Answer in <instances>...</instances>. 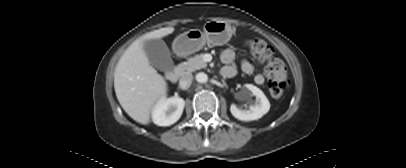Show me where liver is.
<instances>
[{
    "instance_id": "liver-1",
    "label": "liver",
    "mask_w": 406,
    "mask_h": 168,
    "mask_svg": "<svg viewBox=\"0 0 406 168\" xmlns=\"http://www.w3.org/2000/svg\"><path fill=\"white\" fill-rule=\"evenodd\" d=\"M173 27L151 31L134 41L118 61L114 89L124 111L136 122L147 125L155 105L164 98L167 83L151 65L144 42L173 33Z\"/></svg>"
}]
</instances>
